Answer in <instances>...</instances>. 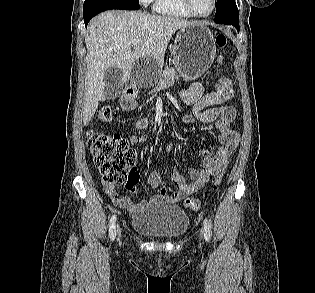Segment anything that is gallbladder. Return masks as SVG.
<instances>
[{"instance_id": "1", "label": "gallbladder", "mask_w": 315, "mask_h": 293, "mask_svg": "<svg viewBox=\"0 0 315 293\" xmlns=\"http://www.w3.org/2000/svg\"><path fill=\"white\" fill-rule=\"evenodd\" d=\"M123 76V71L117 67H109L105 71V96L107 100L115 99L120 95Z\"/></svg>"}]
</instances>
